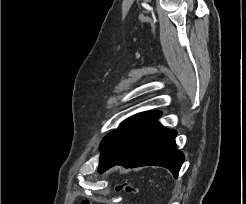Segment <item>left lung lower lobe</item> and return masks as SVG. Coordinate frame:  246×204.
Listing matches in <instances>:
<instances>
[{"label":"left lung lower lobe","instance_id":"1","mask_svg":"<svg viewBox=\"0 0 246 204\" xmlns=\"http://www.w3.org/2000/svg\"><path fill=\"white\" fill-rule=\"evenodd\" d=\"M161 112L136 114L105 136L100 144L98 172L115 165L139 167L162 166L177 177L184 155L176 149L174 130L164 128L156 120Z\"/></svg>","mask_w":246,"mask_h":204}]
</instances>
